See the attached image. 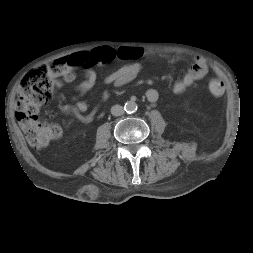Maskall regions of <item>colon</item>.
<instances>
[{"mask_svg":"<svg viewBox=\"0 0 253 253\" xmlns=\"http://www.w3.org/2000/svg\"><path fill=\"white\" fill-rule=\"evenodd\" d=\"M69 69V60L60 58L49 65L36 66L19 82L15 117L29 144L35 148L48 145L62 134L59 124L40 121L38 111L51 98L54 79L65 75ZM207 87L213 96H221L225 89L223 81L219 79H210Z\"/></svg>","mask_w":253,"mask_h":253,"instance_id":"1","label":"colon"}]
</instances>
